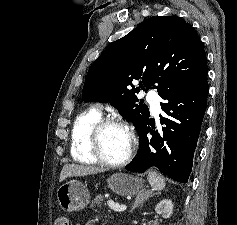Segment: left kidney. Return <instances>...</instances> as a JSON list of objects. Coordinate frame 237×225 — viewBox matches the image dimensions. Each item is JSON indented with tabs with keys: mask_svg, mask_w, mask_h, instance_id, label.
<instances>
[{
	"mask_svg": "<svg viewBox=\"0 0 237 225\" xmlns=\"http://www.w3.org/2000/svg\"><path fill=\"white\" fill-rule=\"evenodd\" d=\"M155 211L157 214L162 215L163 218H170L173 212V204L169 199H164L160 201L156 207Z\"/></svg>",
	"mask_w": 237,
	"mask_h": 225,
	"instance_id": "5707ae66",
	"label": "left kidney"
}]
</instances>
